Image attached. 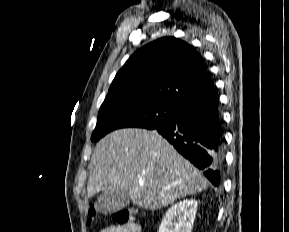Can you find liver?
I'll return each instance as SVG.
<instances>
[{
	"mask_svg": "<svg viewBox=\"0 0 289 232\" xmlns=\"http://www.w3.org/2000/svg\"><path fill=\"white\" fill-rule=\"evenodd\" d=\"M208 185L157 131L127 128L97 143L89 164L87 196L121 189L134 205L154 211Z\"/></svg>",
	"mask_w": 289,
	"mask_h": 232,
	"instance_id": "6515ba94",
	"label": "liver"
}]
</instances>
